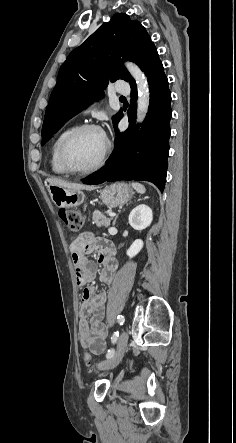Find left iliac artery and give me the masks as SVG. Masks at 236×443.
<instances>
[{
	"label": "left iliac artery",
	"instance_id": "44dca946",
	"mask_svg": "<svg viewBox=\"0 0 236 443\" xmlns=\"http://www.w3.org/2000/svg\"><path fill=\"white\" fill-rule=\"evenodd\" d=\"M117 321H118L119 325L122 326L124 324V322H125V317L123 315H118L117 316ZM118 337H119V332L118 331L114 332L112 337H111V341H112L113 344L116 343ZM113 356H114V349H109L107 354H106V358L110 359Z\"/></svg>",
	"mask_w": 236,
	"mask_h": 443
}]
</instances>
